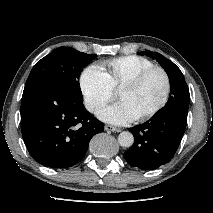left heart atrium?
<instances>
[{"label":"left heart atrium","instance_id":"1","mask_svg":"<svg viewBox=\"0 0 213 213\" xmlns=\"http://www.w3.org/2000/svg\"><path fill=\"white\" fill-rule=\"evenodd\" d=\"M98 116L103 121L116 125L127 124L136 118L131 108L124 101H119L102 109Z\"/></svg>","mask_w":213,"mask_h":213}]
</instances>
